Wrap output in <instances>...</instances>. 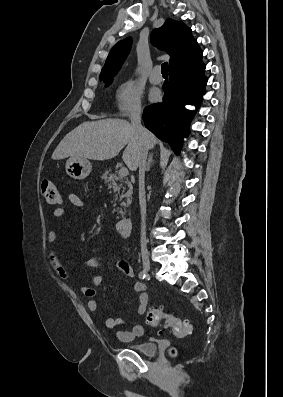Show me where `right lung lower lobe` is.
I'll return each mask as SVG.
<instances>
[{
	"label": "right lung lower lobe",
	"instance_id": "right-lung-lower-lobe-1",
	"mask_svg": "<svg viewBox=\"0 0 283 397\" xmlns=\"http://www.w3.org/2000/svg\"><path fill=\"white\" fill-rule=\"evenodd\" d=\"M202 57L169 70V82L163 85V102L145 108L143 121L147 129L169 143L175 153L181 149L194 116L184 105L199 104L205 92L207 77ZM198 95V96H197Z\"/></svg>",
	"mask_w": 283,
	"mask_h": 397
}]
</instances>
